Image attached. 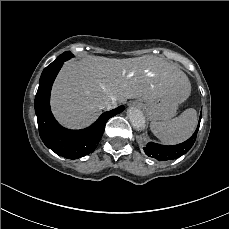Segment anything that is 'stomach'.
Listing matches in <instances>:
<instances>
[{
	"instance_id": "1",
	"label": "stomach",
	"mask_w": 229,
	"mask_h": 229,
	"mask_svg": "<svg viewBox=\"0 0 229 229\" xmlns=\"http://www.w3.org/2000/svg\"><path fill=\"white\" fill-rule=\"evenodd\" d=\"M184 101V100H183ZM182 102V101H181ZM181 102H172L166 100H146L139 99L137 108L141 109L147 118L151 121H166L172 119L177 110V104Z\"/></svg>"
}]
</instances>
